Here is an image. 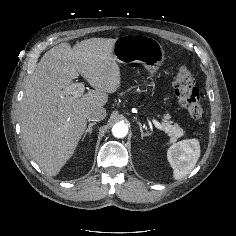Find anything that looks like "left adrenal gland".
Segmentation results:
<instances>
[{"mask_svg":"<svg viewBox=\"0 0 236 236\" xmlns=\"http://www.w3.org/2000/svg\"><path fill=\"white\" fill-rule=\"evenodd\" d=\"M139 126H140V133H141V138H143L144 136H148V132H144L143 131V127L142 124L140 122H138Z\"/></svg>","mask_w":236,"mask_h":236,"instance_id":"a2214340","label":"left adrenal gland"}]
</instances>
